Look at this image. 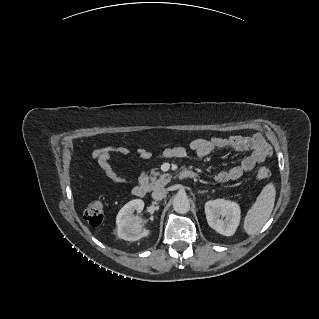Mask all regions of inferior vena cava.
I'll list each match as a JSON object with an SVG mask.
<instances>
[{"label": "inferior vena cava", "instance_id": "1", "mask_svg": "<svg viewBox=\"0 0 319 319\" xmlns=\"http://www.w3.org/2000/svg\"><path fill=\"white\" fill-rule=\"evenodd\" d=\"M167 194V190L163 187L157 188L152 193V198L156 201L162 200Z\"/></svg>", "mask_w": 319, "mask_h": 319}]
</instances>
